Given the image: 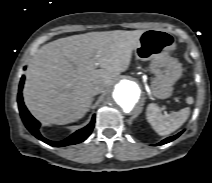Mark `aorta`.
<instances>
[{
    "label": "aorta",
    "instance_id": "762f6f07",
    "mask_svg": "<svg viewBox=\"0 0 212 183\" xmlns=\"http://www.w3.org/2000/svg\"><path fill=\"white\" fill-rule=\"evenodd\" d=\"M139 85L131 80L123 79L115 84L111 101L118 109L129 113L134 110L140 100Z\"/></svg>",
    "mask_w": 212,
    "mask_h": 183
}]
</instances>
